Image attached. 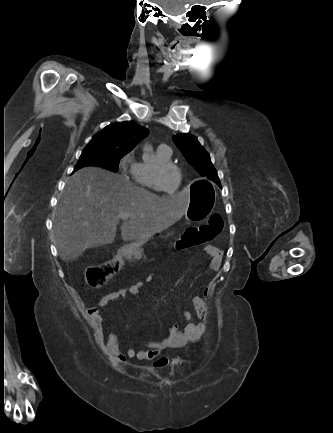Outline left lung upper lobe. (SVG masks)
I'll use <instances>...</instances> for the list:
<instances>
[{
	"instance_id": "1",
	"label": "left lung upper lobe",
	"mask_w": 333,
	"mask_h": 433,
	"mask_svg": "<svg viewBox=\"0 0 333 433\" xmlns=\"http://www.w3.org/2000/svg\"><path fill=\"white\" fill-rule=\"evenodd\" d=\"M173 141L182 152L186 160L199 172L200 175L220 184L215 168L213 167L209 154L200 145L198 140L188 134L173 136Z\"/></svg>"
}]
</instances>
